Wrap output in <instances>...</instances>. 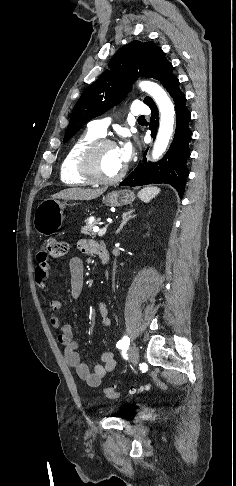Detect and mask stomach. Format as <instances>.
<instances>
[{
	"instance_id": "1",
	"label": "stomach",
	"mask_w": 236,
	"mask_h": 486,
	"mask_svg": "<svg viewBox=\"0 0 236 486\" xmlns=\"http://www.w3.org/2000/svg\"><path fill=\"white\" fill-rule=\"evenodd\" d=\"M135 195L128 189L113 191L103 197L107 206L119 207L131 204ZM66 203L57 199H46L36 208L33 218V226L37 233L49 236L56 233L63 222V211Z\"/></svg>"
}]
</instances>
